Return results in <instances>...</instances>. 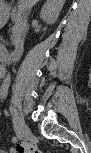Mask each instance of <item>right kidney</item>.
I'll return each instance as SVG.
<instances>
[{
    "label": "right kidney",
    "instance_id": "1",
    "mask_svg": "<svg viewBox=\"0 0 91 153\" xmlns=\"http://www.w3.org/2000/svg\"><path fill=\"white\" fill-rule=\"evenodd\" d=\"M54 2L56 0H47L40 12V18L48 24L55 23L63 7V5Z\"/></svg>",
    "mask_w": 91,
    "mask_h": 153
}]
</instances>
